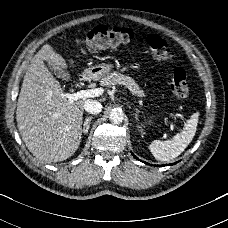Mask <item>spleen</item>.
Returning <instances> with one entry per match:
<instances>
[{
    "label": "spleen",
    "mask_w": 228,
    "mask_h": 228,
    "mask_svg": "<svg viewBox=\"0 0 228 228\" xmlns=\"http://www.w3.org/2000/svg\"><path fill=\"white\" fill-rule=\"evenodd\" d=\"M198 124V114L194 113L183 130L176 134L171 140H154L149 145V150L159 161H170L178 157L193 140Z\"/></svg>",
    "instance_id": "obj_1"
}]
</instances>
